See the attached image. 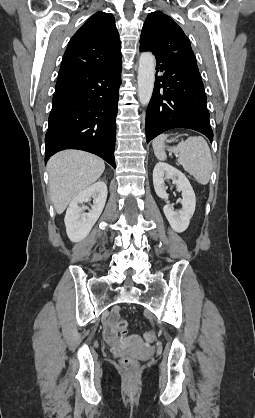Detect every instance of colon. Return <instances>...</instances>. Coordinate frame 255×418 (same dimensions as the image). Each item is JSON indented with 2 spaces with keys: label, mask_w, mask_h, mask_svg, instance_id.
Listing matches in <instances>:
<instances>
[{
  "label": "colon",
  "mask_w": 255,
  "mask_h": 418,
  "mask_svg": "<svg viewBox=\"0 0 255 418\" xmlns=\"http://www.w3.org/2000/svg\"><path fill=\"white\" fill-rule=\"evenodd\" d=\"M116 328L118 329V331L122 334L126 333L127 331V322L125 319L121 318L119 316V314H114V318H113ZM145 340L148 342H151L154 340L155 338V333L152 331H148L144 334ZM120 364L121 366L129 371V372H133L138 368V361L137 359H135L134 357L131 356H124L120 359Z\"/></svg>",
  "instance_id": "1"
}]
</instances>
